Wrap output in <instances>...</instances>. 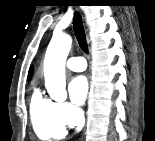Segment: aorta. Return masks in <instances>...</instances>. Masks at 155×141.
<instances>
[{
    "instance_id": "aorta-1",
    "label": "aorta",
    "mask_w": 155,
    "mask_h": 141,
    "mask_svg": "<svg viewBox=\"0 0 155 141\" xmlns=\"http://www.w3.org/2000/svg\"><path fill=\"white\" fill-rule=\"evenodd\" d=\"M72 38L65 33H54L44 59L45 87L55 101L67 97L65 62L70 51Z\"/></svg>"
}]
</instances>
